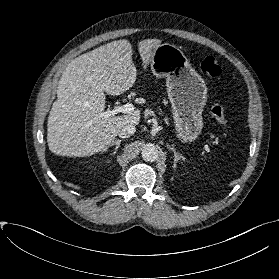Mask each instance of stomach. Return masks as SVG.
<instances>
[{
    "instance_id": "stomach-1",
    "label": "stomach",
    "mask_w": 279,
    "mask_h": 279,
    "mask_svg": "<svg viewBox=\"0 0 279 279\" xmlns=\"http://www.w3.org/2000/svg\"><path fill=\"white\" fill-rule=\"evenodd\" d=\"M150 64L156 77H166L177 137L182 142L195 141L203 128L202 112L207 101L204 79L183 51L169 43L153 49Z\"/></svg>"
}]
</instances>
